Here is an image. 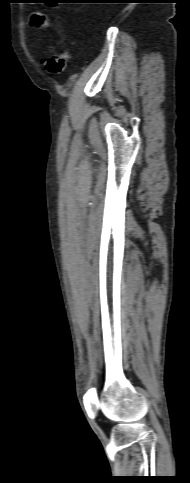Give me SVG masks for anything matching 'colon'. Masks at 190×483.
<instances>
[{
  "mask_svg": "<svg viewBox=\"0 0 190 483\" xmlns=\"http://www.w3.org/2000/svg\"><path fill=\"white\" fill-rule=\"evenodd\" d=\"M68 66V54L63 49L54 50V54L45 61L46 70L52 75L64 73Z\"/></svg>",
  "mask_w": 190,
  "mask_h": 483,
  "instance_id": "obj_1",
  "label": "colon"
}]
</instances>
